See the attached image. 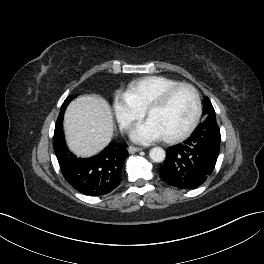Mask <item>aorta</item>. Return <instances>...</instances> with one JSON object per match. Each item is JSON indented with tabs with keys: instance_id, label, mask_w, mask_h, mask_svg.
Returning a JSON list of instances; mask_svg holds the SVG:
<instances>
[{
	"instance_id": "1",
	"label": "aorta",
	"mask_w": 264,
	"mask_h": 264,
	"mask_svg": "<svg viewBox=\"0 0 264 264\" xmlns=\"http://www.w3.org/2000/svg\"><path fill=\"white\" fill-rule=\"evenodd\" d=\"M149 156L153 162L160 163L165 160L166 154L163 148L154 147L150 150Z\"/></svg>"
}]
</instances>
